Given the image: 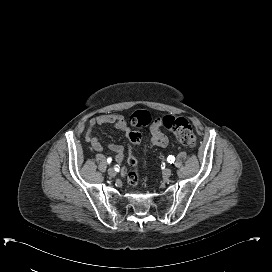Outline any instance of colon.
Returning <instances> with one entry per match:
<instances>
[{
	"mask_svg": "<svg viewBox=\"0 0 272 272\" xmlns=\"http://www.w3.org/2000/svg\"><path fill=\"white\" fill-rule=\"evenodd\" d=\"M149 119V116L144 113H134L130 116L129 123L134 128H142L148 123ZM161 124L164 128L172 132L181 144L187 147H192L195 145V134L192 126L185 118L178 116H166L161 120ZM141 139L142 136L139 132H130L129 148L131 150L135 149L140 143ZM129 164L131 166L136 165V158L133 154H131L129 157ZM127 180L131 186H137L140 182L139 173L134 169L129 170L127 173Z\"/></svg>",
	"mask_w": 272,
	"mask_h": 272,
	"instance_id": "5ec220e1",
	"label": "colon"
}]
</instances>
